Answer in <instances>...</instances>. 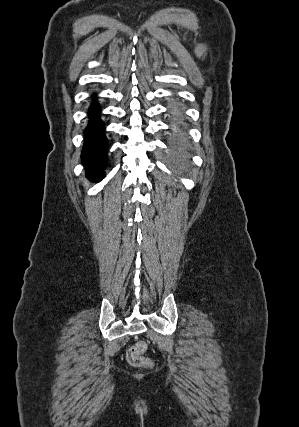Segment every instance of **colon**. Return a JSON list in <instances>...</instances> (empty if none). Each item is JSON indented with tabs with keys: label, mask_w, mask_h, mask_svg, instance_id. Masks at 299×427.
I'll use <instances>...</instances> for the list:
<instances>
[{
	"label": "colon",
	"mask_w": 299,
	"mask_h": 427,
	"mask_svg": "<svg viewBox=\"0 0 299 427\" xmlns=\"http://www.w3.org/2000/svg\"><path fill=\"white\" fill-rule=\"evenodd\" d=\"M147 350L145 342H138L131 346L126 354L128 363L133 367L148 368L152 366V360L144 356Z\"/></svg>",
	"instance_id": "obj_1"
}]
</instances>
